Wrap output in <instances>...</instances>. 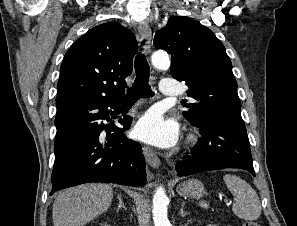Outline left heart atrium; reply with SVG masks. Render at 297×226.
Returning a JSON list of instances; mask_svg holds the SVG:
<instances>
[{"mask_svg": "<svg viewBox=\"0 0 297 226\" xmlns=\"http://www.w3.org/2000/svg\"><path fill=\"white\" fill-rule=\"evenodd\" d=\"M134 135L145 142L169 147L178 139V127L172 121H165L158 113L149 112L137 123Z\"/></svg>", "mask_w": 297, "mask_h": 226, "instance_id": "1", "label": "left heart atrium"}]
</instances>
